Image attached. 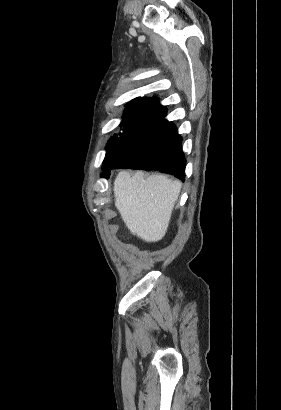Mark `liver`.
Masks as SVG:
<instances>
[{
  "mask_svg": "<svg viewBox=\"0 0 281 410\" xmlns=\"http://www.w3.org/2000/svg\"><path fill=\"white\" fill-rule=\"evenodd\" d=\"M182 183L164 175L118 173L114 182L115 206L126 227L146 242L161 240L168 228Z\"/></svg>",
  "mask_w": 281,
  "mask_h": 410,
  "instance_id": "6515ba94",
  "label": "liver"
}]
</instances>
